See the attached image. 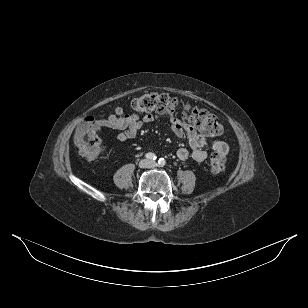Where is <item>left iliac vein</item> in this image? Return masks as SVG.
Listing matches in <instances>:
<instances>
[{
  "label": "left iliac vein",
  "instance_id": "left-iliac-vein-1",
  "mask_svg": "<svg viewBox=\"0 0 308 308\" xmlns=\"http://www.w3.org/2000/svg\"><path fill=\"white\" fill-rule=\"evenodd\" d=\"M156 165H157L156 162H153V161L150 162L151 167H155Z\"/></svg>",
  "mask_w": 308,
  "mask_h": 308
}]
</instances>
